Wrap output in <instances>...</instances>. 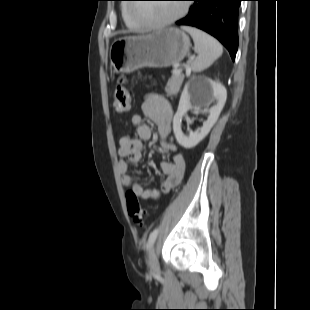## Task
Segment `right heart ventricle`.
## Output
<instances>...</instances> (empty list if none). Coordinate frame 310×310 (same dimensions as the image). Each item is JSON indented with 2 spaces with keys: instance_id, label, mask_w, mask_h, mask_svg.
Segmentation results:
<instances>
[{
  "instance_id": "right-heart-ventricle-1",
  "label": "right heart ventricle",
  "mask_w": 310,
  "mask_h": 310,
  "mask_svg": "<svg viewBox=\"0 0 310 310\" xmlns=\"http://www.w3.org/2000/svg\"><path fill=\"white\" fill-rule=\"evenodd\" d=\"M128 7H129V5L123 4L122 9H121L122 17H123V20H124L126 26L129 27L130 29L141 28L142 26L139 23H137L136 21H134L133 19L130 18L129 14H128Z\"/></svg>"
}]
</instances>
